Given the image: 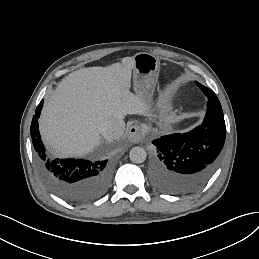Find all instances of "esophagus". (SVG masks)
I'll return each mask as SVG.
<instances>
[{
	"label": "esophagus",
	"mask_w": 259,
	"mask_h": 259,
	"mask_svg": "<svg viewBox=\"0 0 259 259\" xmlns=\"http://www.w3.org/2000/svg\"><path fill=\"white\" fill-rule=\"evenodd\" d=\"M144 138V129L138 125L134 124L129 128L128 140L134 144L139 143Z\"/></svg>",
	"instance_id": "obj_1"
}]
</instances>
